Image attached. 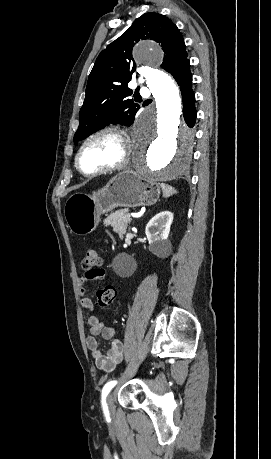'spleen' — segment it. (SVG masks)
<instances>
[{"mask_svg": "<svg viewBox=\"0 0 271 459\" xmlns=\"http://www.w3.org/2000/svg\"><path fill=\"white\" fill-rule=\"evenodd\" d=\"M161 188L164 198H170L172 194H175L174 188H172V186H168V184H161Z\"/></svg>", "mask_w": 271, "mask_h": 459, "instance_id": "obj_1", "label": "spleen"}]
</instances>
